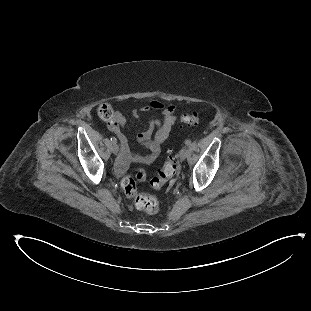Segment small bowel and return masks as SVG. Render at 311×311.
<instances>
[{"label": "small bowel", "instance_id": "c3829d8e", "mask_svg": "<svg viewBox=\"0 0 311 311\" xmlns=\"http://www.w3.org/2000/svg\"><path fill=\"white\" fill-rule=\"evenodd\" d=\"M151 111H160L161 118L151 119L148 128L138 135V142L148 149V153L146 154L131 151L127 138L122 132V127L125 124V118L123 116L119 114L118 125L114 128H110L115 132L120 142L121 153L119 162L121 165H126L130 162L149 164L158 158L161 146L167 139L171 128L176 122L175 106L172 104H164L160 101H152L149 104L132 109L131 116L137 119Z\"/></svg>", "mask_w": 311, "mask_h": 311}]
</instances>
